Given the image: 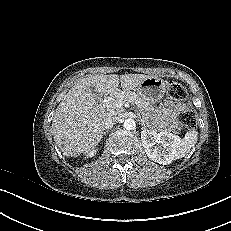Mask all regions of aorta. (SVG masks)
<instances>
[{
  "instance_id": "762f6f07",
  "label": "aorta",
  "mask_w": 231,
  "mask_h": 231,
  "mask_svg": "<svg viewBox=\"0 0 231 231\" xmlns=\"http://www.w3.org/2000/svg\"><path fill=\"white\" fill-rule=\"evenodd\" d=\"M123 126L127 130H133L136 127L135 120L128 118L124 121Z\"/></svg>"
}]
</instances>
